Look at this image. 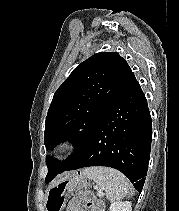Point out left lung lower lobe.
I'll use <instances>...</instances> for the list:
<instances>
[{"instance_id":"left-lung-lower-lobe-1","label":"left lung lower lobe","mask_w":179,"mask_h":211,"mask_svg":"<svg viewBox=\"0 0 179 211\" xmlns=\"http://www.w3.org/2000/svg\"><path fill=\"white\" fill-rule=\"evenodd\" d=\"M151 141L152 122L147 100L131 72L101 115L85 149L65 170L112 167L122 172L141 192L148 170Z\"/></svg>"}]
</instances>
